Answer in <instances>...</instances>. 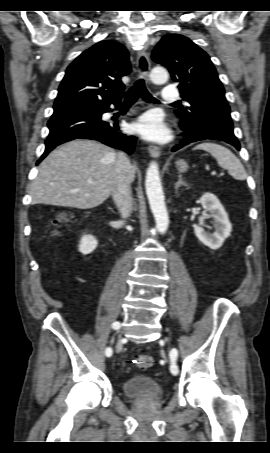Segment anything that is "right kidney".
Masks as SVG:
<instances>
[{
    "mask_svg": "<svg viewBox=\"0 0 270 453\" xmlns=\"http://www.w3.org/2000/svg\"><path fill=\"white\" fill-rule=\"evenodd\" d=\"M98 245L96 238L92 235H83L79 244V251L84 254L92 253Z\"/></svg>",
    "mask_w": 270,
    "mask_h": 453,
    "instance_id": "right-kidney-1",
    "label": "right kidney"
}]
</instances>
